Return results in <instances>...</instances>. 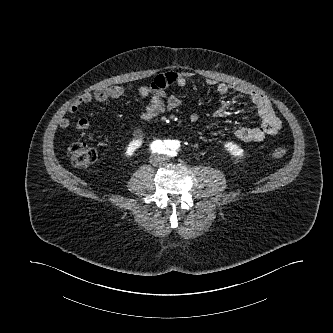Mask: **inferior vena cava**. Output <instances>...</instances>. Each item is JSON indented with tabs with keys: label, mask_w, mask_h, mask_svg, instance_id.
Instances as JSON below:
<instances>
[{
	"label": "inferior vena cava",
	"mask_w": 333,
	"mask_h": 333,
	"mask_svg": "<svg viewBox=\"0 0 333 333\" xmlns=\"http://www.w3.org/2000/svg\"><path fill=\"white\" fill-rule=\"evenodd\" d=\"M159 159H160V156L159 155H155L153 154L150 158V163L153 165V166H156L159 164Z\"/></svg>",
	"instance_id": "1"
}]
</instances>
